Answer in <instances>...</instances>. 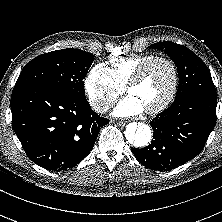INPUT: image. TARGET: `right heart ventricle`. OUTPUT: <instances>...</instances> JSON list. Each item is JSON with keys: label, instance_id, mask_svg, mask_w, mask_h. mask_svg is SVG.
I'll return each instance as SVG.
<instances>
[{"label": "right heart ventricle", "instance_id": "e07e8e85", "mask_svg": "<svg viewBox=\"0 0 222 222\" xmlns=\"http://www.w3.org/2000/svg\"><path fill=\"white\" fill-rule=\"evenodd\" d=\"M153 54H132L125 57L113 58L111 70L119 83L127 85V82L135 71L145 62L154 58Z\"/></svg>", "mask_w": 222, "mask_h": 222}]
</instances>
